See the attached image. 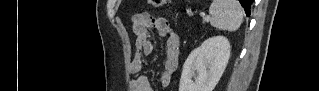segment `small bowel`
I'll list each match as a JSON object with an SVG mask.
<instances>
[{"mask_svg": "<svg viewBox=\"0 0 319 91\" xmlns=\"http://www.w3.org/2000/svg\"><path fill=\"white\" fill-rule=\"evenodd\" d=\"M155 30L159 35L166 37L165 58L160 83L163 87L169 85L172 75L177 69L180 38L163 17L153 16L149 13H138L133 17V32L136 38V51L130 62V72L139 73L142 69L143 57L151 55L153 44L149 38L148 30ZM133 91H153L149 80L144 75H138L132 79Z\"/></svg>", "mask_w": 319, "mask_h": 91, "instance_id": "c3829d8e", "label": "small bowel"}]
</instances>
